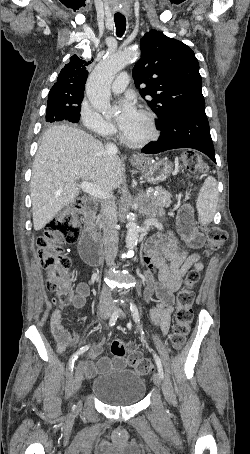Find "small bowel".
Masks as SVG:
<instances>
[{
	"instance_id": "small-bowel-1",
	"label": "small bowel",
	"mask_w": 250,
	"mask_h": 454,
	"mask_svg": "<svg viewBox=\"0 0 250 454\" xmlns=\"http://www.w3.org/2000/svg\"><path fill=\"white\" fill-rule=\"evenodd\" d=\"M178 229L192 249L200 248L204 243L203 235L194 226L193 213L191 208L184 204L180 207L178 216ZM145 263L147 265L146 298L149 301H157V305L150 312L152 327L160 328L166 334L170 328V321L173 312L174 293L180 288L183 277L193 267L201 270L202 264L198 254H189L180 249L178 240L173 235L155 236L146 246ZM89 295V286L85 282L77 285L72 299V306L80 309L85 305ZM62 308H56L50 318L52 334L55 338L56 348L60 354L73 346L78 341L74 332H69L61 322ZM102 353V342H98L89 352V360L83 363V372L87 378H93L99 373L107 372L112 362L107 357L100 358ZM118 365L122 361H117Z\"/></svg>"
}]
</instances>
